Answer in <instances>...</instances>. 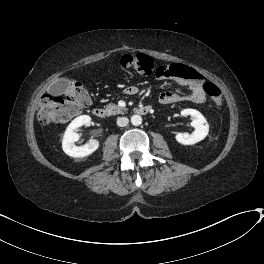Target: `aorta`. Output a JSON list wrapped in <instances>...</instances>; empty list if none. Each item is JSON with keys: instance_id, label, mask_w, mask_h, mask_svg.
Returning <instances> with one entry per match:
<instances>
[{"instance_id": "762f6f07", "label": "aorta", "mask_w": 264, "mask_h": 264, "mask_svg": "<svg viewBox=\"0 0 264 264\" xmlns=\"http://www.w3.org/2000/svg\"><path fill=\"white\" fill-rule=\"evenodd\" d=\"M131 123L134 126H139L142 123V117L140 115H133L131 117Z\"/></svg>"}]
</instances>
